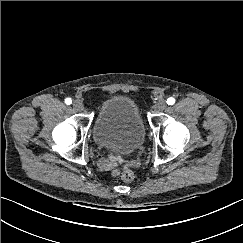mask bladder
Wrapping results in <instances>:
<instances>
[{"label": "bladder", "instance_id": "31cf9c89", "mask_svg": "<svg viewBox=\"0 0 243 243\" xmlns=\"http://www.w3.org/2000/svg\"><path fill=\"white\" fill-rule=\"evenodd\" d=\"M92 136L100 147L127 153L139 149L145 141L146 129L137 104L127 96L106 99L94 119Z\"/></svg>", "mask_w": 243, "mask_h": 243}]
</instances>
